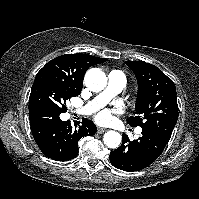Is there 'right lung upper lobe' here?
I'll list each match as a JSON object with an SVG mask.
<instances>
[{"label":"right lung upper lobe","instance_id":"right-lung-upper-lobe-1","mask_svg":"<svg viewBox=\"0 0 199 199\" xmlns=\"http://www.w3.org/2000/svg\"><path fill=\"white\" fill-rule=\"evenodd\" d=\"M105 61H107V59L82 53L62 55L48 62L37 73L36 79L53 78L67 82L81 90L83 76L87 69Z\"/></svg>","mask_w":199,"mask_h":199}]
</instances>
